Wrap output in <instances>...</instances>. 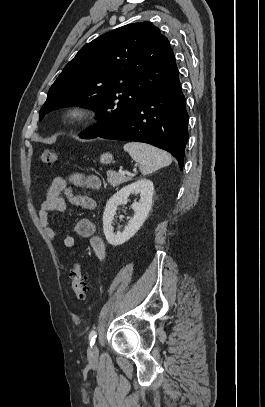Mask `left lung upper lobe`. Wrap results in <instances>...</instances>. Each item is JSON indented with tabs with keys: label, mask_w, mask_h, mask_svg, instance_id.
<instances>
[{
	"label": "left lung upper lobe",
	"mask_w": 265,
	"mask_h": 407,
	"mask_svg": "<svg viewBox=\"0 0 265 407\" xmlns=\"http://www.w3.org/2000/svg\"><path fill=\"white\" fill-rule=\"evenodd\" d=\"M178 73L168 39L150 22L132 23L84 45L49 89L40 120L55 109L90 108L98 123L91 139L124 120L159 85Z\"/></svg>",
	"instance_id": "left-lung-upper-lobe-1"
}]
</instances>
